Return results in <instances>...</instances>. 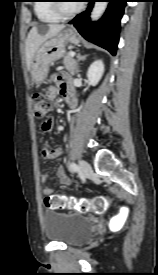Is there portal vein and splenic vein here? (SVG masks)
I'll use <instances>...</instances> for the list:
<instances>
[{"label": "portal vein and splenic vein", "mask_w": 158, "mask_h": 275, "mask_svg": "<svg viewBox=\"0 0 158 275\" xmlns=\"http://www.w3.org/2000/svg\"><path fill=\"white\" fill-rule=\"evenodd\" d=\"M71 56L74 57L75 56V52L72 51L71 52Z\"/></svg>", "instance_id": "obj_1"}]
</instances>
